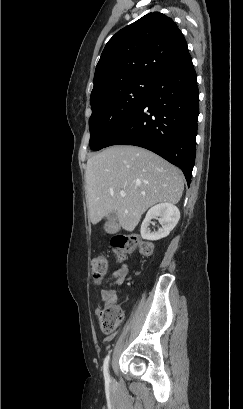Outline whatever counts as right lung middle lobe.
<instances>
[{"label": "right lung middle lobe", "mask_w": 243, "mask_h": 409, "mask_svg": "<svg viewBox=\"0 0 243 409\" xmlns=\"http://www.w3.org/2000/svg\"><path fill=\"white\" fill-rule=\"evenodd\" d=\"M153 84L148 81L128 82L91 103L90 149L97 151L106 147L115 132L142 104Z\"/></svg>", "instance_id": "1"}]
</instances>
